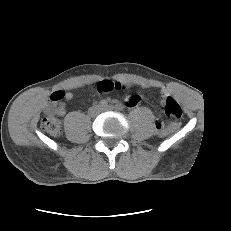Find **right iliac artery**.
Masks as SVG:
<instances>
[{
    "label": "right iliac artery",
    "instance_id": "obj_1",
    "mask_svg": "<svg viewBox=\"0 0 231 231\" xmlns=\"http://www.w3.org/2000/svg\"><path fill=\"white\" fill-rule=\"evenodd\" d=\"M114 103H117L116 101H114ZM116 105V104H115ZM100 106L101 107H107L108 106V102L106 101V100H102L101 102H100Z\"/></svg>",
    "mask_w": 231,
    "mask_h": 231
}]
</instances>
